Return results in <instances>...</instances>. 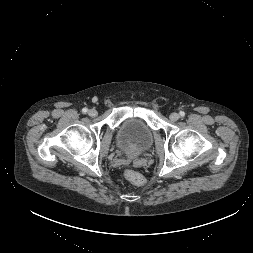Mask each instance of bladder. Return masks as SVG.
I'll return each instance as SVG.
<instances>
[{
    "mask_svg": "<svg viewBox=\"0 0 253 253\" xmlns=\"http://www.w3.org/2000/svg\"><path fill=\"white\" fill-rule=\"evenodd\" d=\"M117 141L121 149L130 154H140L153 143V131L142 120L128 119L121 125Z\"/></svg>",
    "mask_w": 253,
    "mask_h": 253,
    "instance_id": "obj_1",
    "label": "bladder"
}]
</instances>
